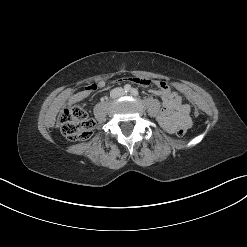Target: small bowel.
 I'll list each match as a JSON object with an SVG mask.
<instances>
[{
	"label": "small bowel",
	"instance_id": "c3829d8e",
	"mask_svg": "<svg viewBox=\"0 0 247 247\" xmlns=\"http://www.w3.org/2000/svg\"><path fill=\"white\" fill-rule=\"evenodd\" d=\"M130 80L142 87L153 86L151 91L161 97L163 107L158 116V121L166 132L172 134L178 127L186 129L191 127L190 106L183 103L178 93L171 90L167 83L152 81L142 77H133ZM104 86L105 82L103 80L86 86L84 90L70 98L69 105L89 97L96 89L103 88Z\"/></svg>",
	"mask_w": 247,
	"mask_h": 247
}]
</instances>
